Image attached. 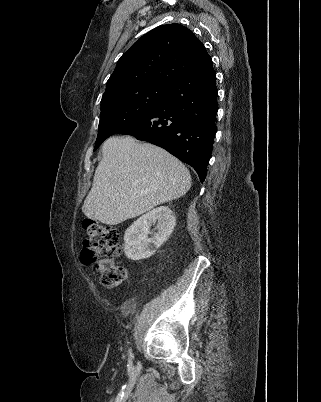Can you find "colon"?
I'll return each instance as SVG.
<instances>
[{
	"instance_id": "1",
	"label": "colon",
	"mask_w": 321,
	"mask_h": 402,
	"mask_svg": "<svg viewBox=\"0 0 321 402\" xmlns=\"http://www.w3.org/2000/svg\"><path fill=\"white\" fill-rule=\"evenodd\" d=\"M85 226L87 238L81 249L82 262L96 265L102 286L118 288L127 276L126 269L113 261L121 249L119 232L94 220H86Z\"/></svg>"
}]
</instances>
